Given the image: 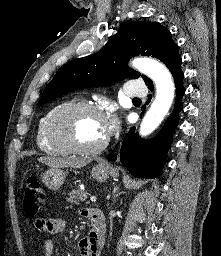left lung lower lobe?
<instances>
[{
    "label": "left lung lower lobe",
    "mask_w": 221,
    "mask_h": 256,
    "mask_svg": "<svg viewBox=\"0 0 221 256\" xmlns=\"http://www.w3.org/2000/svg\"><path fill=\"white\" fill-rule=\"evenodd\" d=\"M176 86V105L174 111L165 122L162 130L151 141L142 140L135 134V127L131 128L124 138L120 150V161L122 165L137 177L153 178L159 177L162 166L166 162L168 145L172 141L173 129L177 125L178 113L182 110V97L185 93L182 81L184 74L178 70L172 74ZM153 89L152 83L148 85ZM151 96H149V103ZM144 109V108H143ZM109 160L115 161V154L109 156Z\"/></svg>",
    "instance_id": "0a47b994"
}]
</instances>
